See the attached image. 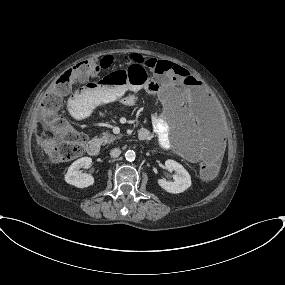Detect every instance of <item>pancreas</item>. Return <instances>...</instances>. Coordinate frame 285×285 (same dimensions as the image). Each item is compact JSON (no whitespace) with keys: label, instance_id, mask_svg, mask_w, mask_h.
<instances>
[{"label":"pancreas","instance_id":"obj_1","mask_svg":"<svg viewBox=\"0 0 285 285\" xmlns=\"http://www.w3.org/2000/svg\"><path fill=\"white\" fill-rule=\"evenodd\" d=\"M120 138L119 136H115L113 134H109L107 132L102 133V136L100 138L101 142L103 144H110L113 141H115L116 139Z\"/></svg>","mask_w":285,"mask_h":285}]
</instances>
